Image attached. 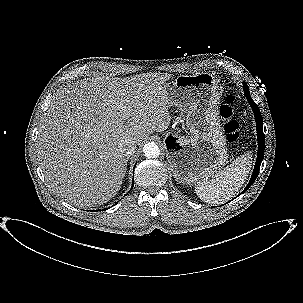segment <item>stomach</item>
I'll list each match as a JSON object with an SVG mask.
<instances>
[{"instance_id": "1", "label": "stomach", "mask_w": 303, "mask_h": 303, "mask_svg": "<svg viewBox=\"0 0 303 303\" xmlns=\"http://www.w3.org/2000/svg\"><path fill=\"white\" fill-rule=\"evenodd\" d=\"M169 107L186 113L189 137L165 138L167 159L174 178L192 184L220 171L229 157L226 137L219 118L221 91L210 73L179 75L166 82Z\"/></svg>"}]
</instances>
